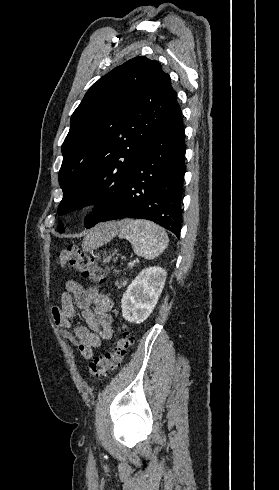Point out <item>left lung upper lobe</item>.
I'll return each mask as SVG.
<instances>
[{"instance_id":"obj_1","label":"left lung upper lobe","mask_w":279,"mask_h":490,"mask_svg":"<svg viewBox=\"0 0 279 490\" xmlns=\"http://www.w3.org/2000/svg\"><path fill=\"white\" fill-rule=\"evenodd\" d=\"M178 105L170 76L146 57L99 79L74 111L62 145L58 214L98 203L85 225L100 222L116 205L145 142ZM58 231H65L62 222Z\"/></svg>"}]
</instances>
